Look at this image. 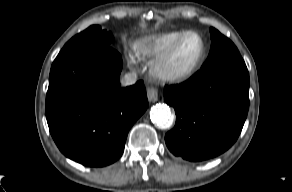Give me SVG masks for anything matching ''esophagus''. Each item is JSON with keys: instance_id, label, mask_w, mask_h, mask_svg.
<instances>
[{"instance_id": "esophagus-1", "label": "esophagus", "mask_w": 292, "mask_h": 192, "mask_svg": "<svg viewBox=\"0 0 292 192\" xmlns=\"http://www.w3.org/2000/svg\"><path fill=\"white\" fill-rule=\"evenodd\" d=\"M147 98L150 102H156L158 100V90L154 87L148 88Z\"/></svg>"}]
</instances>
